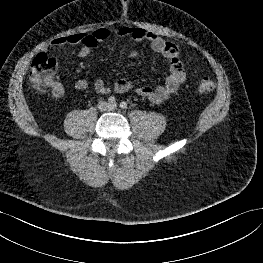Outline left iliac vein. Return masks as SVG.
Segmentation results:
<instances>
[{
    "label": "left iliac vein",
    "mask_w": 263,
    "mask_h": 263,
    "mask_svg": "<svg viewBox=\"0 0 263 263\" xmlns=\"http://www.w3.org/2000/svg\"><path fill=\"white\" fill-rule=\"evenodd\" d=\"M116 108H117L116 104L110 105V107H109L110 110H115Z\"/></svg>",
    "instance_id": "4c4485c4"
}]
</instances>
